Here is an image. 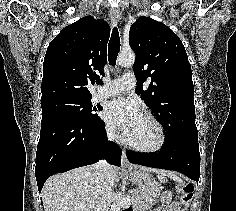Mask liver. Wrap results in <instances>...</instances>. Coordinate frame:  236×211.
I'll list each match as a JSON object with an SVG mask.
<instances>
[{
	"label": "liver",
	"instance_id": "liver-1",
	"mask_svg": "<svg viewBox=\"0 0 236 211\" xmlns=\"http://www.w3.org/2000/svg\"><path fill=\"white\" fill-rule=\"evenodd\" d=\"M147 172L165 171L140 167ZM117 169L109 166L107 177L111 186L117 179ZM101 196L94 167H80L50 177L42 190L45 211H95V201Z\"/></svg>",
	"mask_w": 236,
	"mask_h": 211
}]
</instances>
